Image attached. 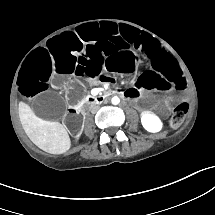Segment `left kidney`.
Instances as JSON below:
<instances>
[{"mask_svg":"<svg viewBox=\"0 0 215 215\" xmlns=\"http://www.w3.org/2000/svg\"><path fill=\"white\" fill-rule=\"evenodd\" d=\"M142 124L144 128L150 132H157L162 127V123L159 118L148 113H144L142 115Z\"/></svg>","mask_w":215,"mask_h":215,"instance_id":"1","label":"left kidney"}]
</instances>
